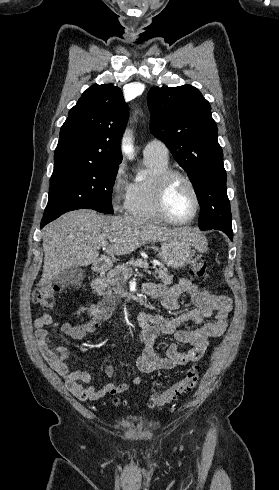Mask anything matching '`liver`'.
Here are the masks:
<instances>
[{"label":"liver","instance_id":"6515ba94","mask_svg":"<svg viewBox=\"0 0 279 490\" xmlns=\"http://www.w3.org/2000/svg\"><path fill=\"white\" fill-rule=\"evenodd\" d=\"M44 266L38 286L47 284L71 266L99 264L100 248L109 242L105 254L124 256L149 242H168L181 236L202 252V238L192 228H162L142 218L101 216L94 210H75L63 214L45 228ZM106 258V256H105Z\"/></svg>","mask_w":279,"mask_h":490}]
</instances>
